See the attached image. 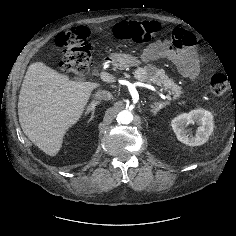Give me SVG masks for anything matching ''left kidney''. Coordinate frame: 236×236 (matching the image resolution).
Segmentation results:
<instances>
[{
	"label": "left kidney",
	"instance_id": "left-kidney-1",
	"mask_svg": "<svg viewBox=\"0 0 236 236\" xmlns=\"http://www.w3.org/2000/svg\"><path fill=\"white\" fill-rule=\"evenodd\" d=\"M195 123L198 127L193 136L186 127ZM171 126L180 142L189 146H199L204 144L213 132V115L207 110L195 109L175 117L171 121Z\"/></svg>",
	"mask_w": 236,
	"mask_h": 236
}]
</instances>
